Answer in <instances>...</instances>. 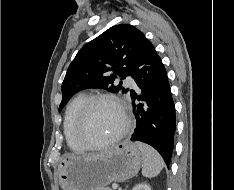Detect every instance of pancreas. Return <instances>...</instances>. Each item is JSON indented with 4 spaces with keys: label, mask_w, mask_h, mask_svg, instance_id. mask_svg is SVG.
Wrapping results in <instances>:
<instances>
[{
    "label": "pancreas",
    "mask_w": 234,
    "mask_h": 190,
    "mask_svg": "<svg viewBox=\"0 0 234 190\" xmlns=\"http://www.w3.org/2000/svg\"><path fill=\"white\" fill-rule=\"evenodd\" d=\"M103 190H111V188H109V187H106V188H104Z\"/></svg>",
    "instance_id": "pancreas-1"
}]
</instances>
